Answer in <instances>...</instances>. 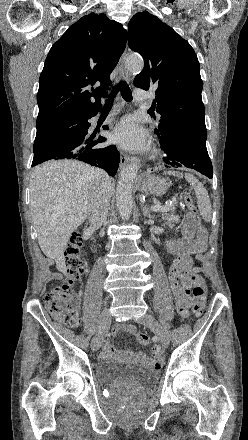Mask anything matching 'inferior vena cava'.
Masks as SVG:
<instances>
[{
  "instance_id": "1",
  "label": "inferior vena cava",
  "mask_w": 248,
  "mask_h": 440,
  "mask_svg": "<svg viewBox=\"0 0 248 440\" xmlns=\"http://www.w3.org/2000/svg\"><path fill=\"white\" fill-rule=\"evenodd\" d=\"M111 197V179L100 169L94 171V188L88 208L90 228L99 229L107 219Z\"/></svg>"
}]
</instances>
